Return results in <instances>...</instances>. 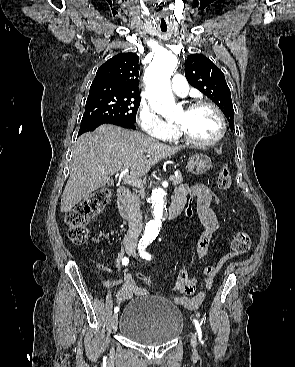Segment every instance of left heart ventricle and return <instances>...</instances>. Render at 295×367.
Returning a JSON list of instances; mask_svg holds the SVG:
<instances>
[{
    "label": "left heart ventricle",
    "mask_w": 295,
    "mask_h": 367,
    "mask_svg": "<svg viewBox=\"0 0 295 367\" xmlns=\"http://www.w3.org/2000/svg\"><path fill=\"white\" fill-rule=\"evenodd\" d=\"M175 122L200 141L211 140L220 132V122L216 113L206 106L181 110L175 117Z\"/></svg>",
    "instance_id": "b2bd125f"
}]
</instances>
